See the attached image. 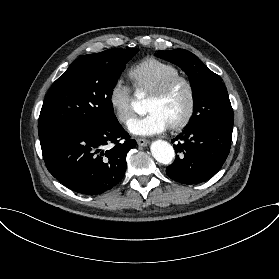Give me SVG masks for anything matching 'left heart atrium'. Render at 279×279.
<instances>
[{"mask_svg":"<svg viewBox=\"0 0 279 279\" xmlns=\"http://www.w3.org/2000/svg\"><path fill=\"white\" fill-rule=\"evenodd\" d=\"M170 127L168 121L158 112L151 111L146 116L128 123V130L137 136H154L165 132Z\"/></svg>","mask_w":279,"mask_h":279,"instance_id":"left-heart-atrium-1","label":"left heart atrium"}]
</instances>
